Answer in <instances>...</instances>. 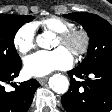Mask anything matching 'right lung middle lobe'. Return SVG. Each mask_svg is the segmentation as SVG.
Instances as JSON below:
<instances>
[{
  "label": "right lung middle lobe",
  "mask_w": 112,
  "mask_h": 112,
  "mask_svg": "<svg viewBox=\"0 0 112 112\" xmlns=\"http://www.w3.org/2000/svg\"><path fill=\"white\" fill-rule=\"evenodd\" d=\"M33 19V16L0 14V74L21 61L14 46V37L24 23Z\"/></svg>",
  "instance_id": "obj_1"
}]
</instances>
